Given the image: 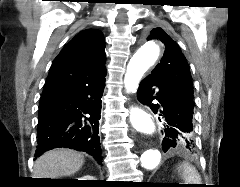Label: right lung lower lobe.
<instances>
[{"label": "right lung lower lobe", "instance_id": "obj_1", "mask_svg": "<svg viewBox=\"0 0 240 187\" xmlns=\"http://www.w3.org/2000/svg\"><path fill=\"white\" fill-rule=\"evenodd\" d=\"M105 75L41 96L35 157L65 147L102 163L98 134Z\"/></svg>", "mask_w": 240, "mask_h": 187}]
</instances>
